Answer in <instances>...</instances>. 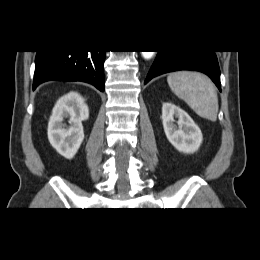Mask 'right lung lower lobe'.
<instances>
[{
	"mask_svg": "<svg viewBox=\"0 0 260 260\" xmlns=\"http://www.w3.org/2000/svg\"><path fill=\"white\" fill-rule=\"evenodd\" d=\"M105 51H37L33 90L45 81H83L104 91Z\"/></svg>",
	"mask_w": 260,
	"mask_h": 260,
	"instance_id": "obj_1",
	"label": "right lung lower lobe"
}]
</instances>
